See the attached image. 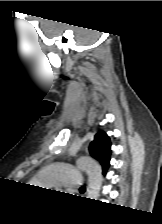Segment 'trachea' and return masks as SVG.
I'll list each match as a JSON object with an SVG mask.
<instances>
[{
	"instance_id": "3493384b",
	"label": "trachea",
	"mask_w": 162,
	"mask_h": 224,
	"mask_svg": "<svg viewBox=\"0 0 162 224\" xmlns=\"http://www.w3.org/2000/svg\"><path fill=\"white\" fill-rule=\"evenodd\" d=\"M80 190H85V187H84V186H82V187L80 188Z\"/></svg>"
}]
</instances>
